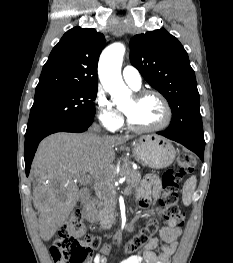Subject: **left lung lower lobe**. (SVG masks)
Masks as SVG:
<instances>
[{
    "instance_id": "left-lung-lower-lobe-1",
    "label": "left lung lower lobe",
    "mask_w": 233,
    "mask_h": 263,
    "mask_svg": "<svg viewBox=\"0 0 233 263\" xmlns=\"http://www.w3.org/2000/svg\"><path fill=\"white\" fill-rule=\"evenodd\" d=\"M157 134L163 135L171 140H174L176 142H179L183 144L185 147L190 149L191 151L195 152L203 161V154H204V147L205 144L196 143L187 139H184L182 137H179L174 134L167 133L166 131L163 132H157Z\"/></svg>"
}]
</instances>
